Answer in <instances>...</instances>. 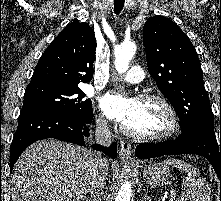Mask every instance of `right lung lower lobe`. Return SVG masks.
I'll use <instances>...</instances> for the list:
<instances>
[{"label": "right lung lower lobe", "instance_id": "obj_1", "mask_svg": "<svg viewBox=\"0 0 221 201\" xmlns=\"http://www.w3.org/2000/svg\"><path fill=\"white\" fill-rule=\"evenodd\" d=\"M90 120L77 116L43 109H28L20 112L18 127L13 137L10 153V170L20 154L32 143L56 138L59 140L84 146L89 135ZM93 149L103 151L109 157L117 156V145L112 144L110 148L94 145Z\"/></svg>", "mask_w": 221, "mask_h": 201}]
</instances>
